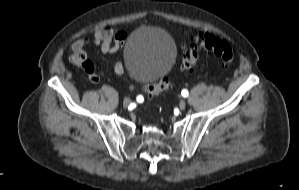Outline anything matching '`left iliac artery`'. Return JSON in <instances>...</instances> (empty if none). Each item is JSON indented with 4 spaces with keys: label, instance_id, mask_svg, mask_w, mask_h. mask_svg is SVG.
I'll list each match as a JSON object with an SVG mask.
<instances>
[{
    "label": "left iliac artery",
    "instance_id": "1",
    "mask_svg": "<svg viewBox=\"0 0 299 190\" xmlns=\"http://www.w3.org/2000/svg\"><path fill=\"white\" fill-rule=\"evenodd\" d=\"M181 94H182L183 97H187L189 93L186 89H183Z\"/></svg>",
    "mask_w": 299,
    "mask_h": 190
}]
</instances>
